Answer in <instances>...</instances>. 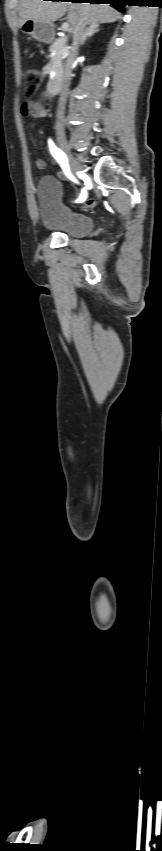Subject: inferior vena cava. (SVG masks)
I'll return each mask as SVG.
<instances>
[{
    "mask_svg": "<svg viewBox=\"0 0 162 851\" xmlns=\"http://www.w3.org/2000/svg\"><path fill=\"white\" fill-rule=\"evenodd\" d=\"M85 26H86V24H85L84 19H81L72 30L73 44H72V49H71L67 64H66L65 69H64V77H63V82H62V86H61V90H60V94H59L58 106H57V111H56V125H55V127H56L57 131H61V132L64 131V114H65V106H66V99H67V93H68V86H69V82H70V79H71L72 65H73L74 59L77 55L78 47L82 43V39H83V36H84V33H85Z\"/></svg>",
    "mask_w": 162,
    "mask_h": 851,
    "instance_id": "1",
    "label": "inferior vena cava"
}]
</instances>
